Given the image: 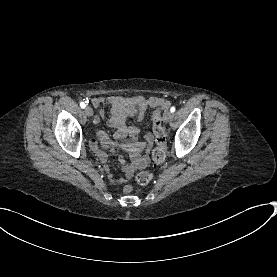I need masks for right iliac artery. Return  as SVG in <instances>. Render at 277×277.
<instances>
[{"label":"right iliac artery","instance_id":"obj_1","mask_svg":"<svg viewBox=\"0 0 277 277\" xmlns=\"http://www.w3.org/2000/svg\"><path fill=\"white\" fill-rule=\"evenodd\" d=\"M85 106H86V104H85L84 102H81V103H80V107H81V108H85Z\"/></svg>","mask_w":277,"mask_h":277}]
</instances>
